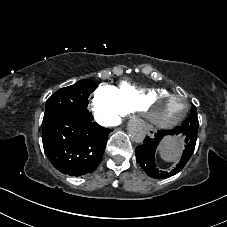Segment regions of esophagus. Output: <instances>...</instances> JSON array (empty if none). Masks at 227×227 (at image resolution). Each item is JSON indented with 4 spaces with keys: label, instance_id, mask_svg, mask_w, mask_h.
Listing matches in <instances>:
<instances>
[{
    "label": "esophagus",
    "instance_id": "34e87169",
    "mask_svg": "<svg viewBox=\"0 0 227 227\" xmlns=\"http://www.w3.org/2000/svg\"><path fill=\"white\" fill-rule=\"evenodd\" d=\"M147 135H148V137L153 138V137H155L156 132H155V130L150 129V130H148Z\"/></svg>",
    "mask_w": 227,
    "mask_h": 227
}]
</instances>
